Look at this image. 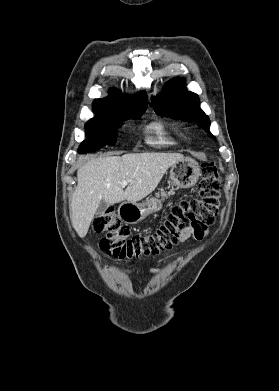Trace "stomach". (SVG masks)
I'll return each mask as SVG.
<instances>
[{"label":"stomach","mask_w":279,"mask_h":391,"mask_svg":"<svg viewBox=\"0 0 279 391\" xmlns=\"http://www.w3.org/2000/svg\"><path fill=\"white\" fill-rule=\"evenodd\" d=\"M200 176V166L192 158L184 157L171 166L170 178L177 189L194 186ZM162 202L158 198L147 199L143 203L124 202L119 206L121 220L129 224H137L148 215L159 211Z\"/></svg>","instance_id":"0dacf381"}]
</instances>
